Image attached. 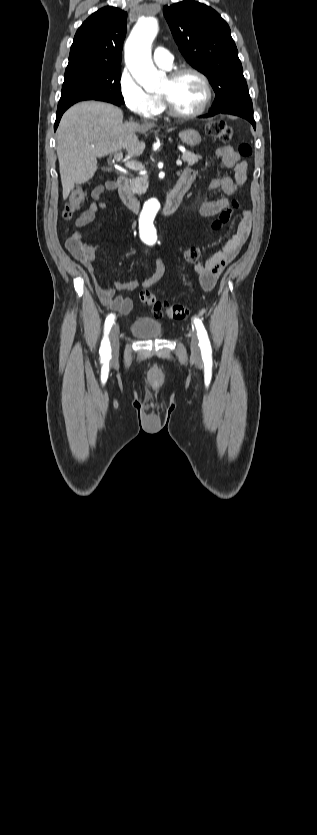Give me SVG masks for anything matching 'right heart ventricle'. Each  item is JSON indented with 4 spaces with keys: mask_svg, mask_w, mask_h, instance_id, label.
I'll return each mask as SVG.
<instances>
[{
    "mask_svg": "<svg viewBox=\"0 0 317 835\" xmlns=\"http://www.w3.org/2000/svg\"><path fill=\"white\" fill-rule=\"evenodd\" d=\"M156 98L160 101V111H159V113H161L164 110V104H163V102H162V100L159 96H156Z\"/></svg>",
    "mask_w": 317,
    "mask_h": 835,
    "instance_id": "e07e8e85",
    "label": "right heart ventricle"
}]
</instances>
